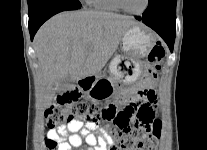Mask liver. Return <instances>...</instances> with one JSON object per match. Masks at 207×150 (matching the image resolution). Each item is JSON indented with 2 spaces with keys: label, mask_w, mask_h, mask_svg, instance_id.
<instances>
[{
  "label": "liver",
  "mask_w": 207,
  "mask_h": 150,
  "mask_svg": "<svg viewBox=\"0 0 207 150\" xmlns=\"http://www.w3.org/2000/svg\"><path fill=\"white\" fill-rule=\"evenodd\" d=\"M136 24L129 16L92 10L62 12L48 20L34 38L43 105H51L66 76L78 81L97 75Z\"/></svg>",
  "instance_id": "1"
}]
</instances>
